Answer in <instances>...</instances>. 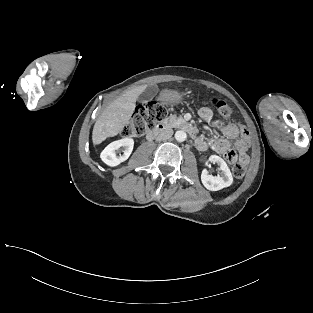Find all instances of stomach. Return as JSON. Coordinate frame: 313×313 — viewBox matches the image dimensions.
Here are the masks:
<instances>
[{"mask_svg": "<svg viewBox=\"0 0 313 313\" xmlns=\"http://www.w3.org/2000/svg\"><path fill=\"white\" fill-rule=\"evenodd\" d=\"M183 95L178 91L165 90L162 91L159 100L162 104H177L181 102Z\"/></svg>", "mask_w": 313, "mask_h": 313, "instance_id": "1", "label": "stomach"}]
</instances>
